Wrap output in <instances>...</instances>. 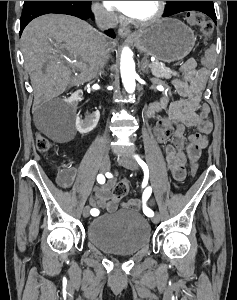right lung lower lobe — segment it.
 Wrapping results in <instances>:
<instances>
[{
    "instance_id": "98d812e1",
    "label": "right lung lower lobe",
    "mask_w": 237,
    "mask_h": 300,
    "mask_svg": "<svg viewBox=\"0 0 237 300\" xmlns=\"http://www.w3.org/2000/svg\"><path fill=\"white\" fill-rule=\"evenodd\" d=\"M49 13L68 14L83 20L93 16L90 10V1H53L41 4L27 11H22L20 19V35L25 26L32 19ZM105 33L110 37H115V34L111 29Z\"/></svg>"
}]
</instances>
